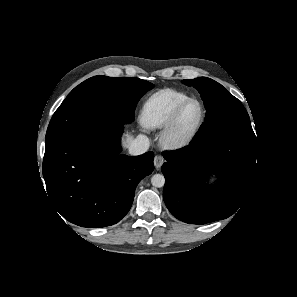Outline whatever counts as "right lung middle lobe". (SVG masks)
<instances>
[{
  "mask_svg": "<svg viewBox=\"0 0 297 297\" xmlns=\"http://www.w3.org/2000/svg\"><path fill=\"white\" fill-rule=\"evenodd\" d=\"M153 87L133 77L94 76L85 80L54 113L46 133V148L93 127L131 123L137 102Z\"/></svg>",
  "mask_w": 297,
  "mask_h": 297,
  "instance_id": "obj_1",
  "label": "right lung middle lobe"
}]
</instances>
